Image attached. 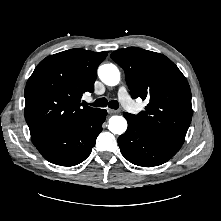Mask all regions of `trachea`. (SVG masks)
I'll return each mask as SVG.
<instances>
[{
  "label": "trachea",
  "instance_id": "trachea-1",
  "mask_svg": "<svg viewBox=\"0 0 221 221\" xmlns=\"http://www.w3.org/2000/svg\"><path fill=\"white\" fill-rule=\"evenodd\" d=\"M91 105L96 106V107H106V106H108L109 108L115 109V110H117L119 108L118 101H116V100L108 101L106 98L97 99Z\"/></svg>",
  "mask_w": 221,
  "mask_h": 221
}]
</instances>
